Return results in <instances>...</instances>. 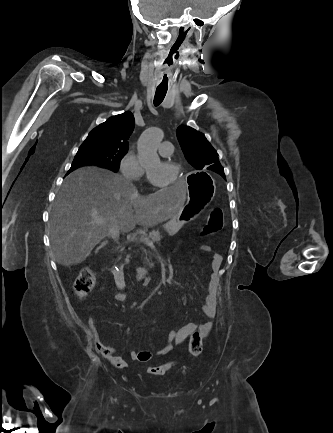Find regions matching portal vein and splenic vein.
Wrapping results in <instances>:
<instances>
[{
	"label": "portal vein and splenic vein",
	"instance_id": "1",
	"mask_svg": "<svg viewBox=\"0 0 333 433\" xmlns=\"http://www.w3.org/2000/svg\"><path fill=\"white\" fill-rule=\"evenodd\" d=\"M95 223L100 224V223H102V221L101 220H95ZM139 240L144 242L147 245H152V242L146 236H142Z\"/></svg>",
	"mask_w": 333,
	"mask_h": 433
}]
</instances>
